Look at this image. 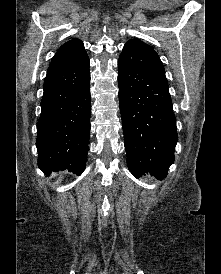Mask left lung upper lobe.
<instances>
[{
  "mask_svg": "<svg viewBox=\"0 0 221 274\" xmlns=\"http://www.w3.org/2000/svg\"><path fill=\"white\" fill-rule=\"evenodd\" d=\"M128 42L139 46L140 48L144 49L145 51H147V52H149L153 55L158 56V54L154 51V49L151 46H149L146 43L140 41L139 39H132V40H129Z\"/></svg>",
  "mask_w": 221,
  "mask_h": 274,
  "instance_id": "1",
  "label": "left lung upper lobe"
}]
</instances>
